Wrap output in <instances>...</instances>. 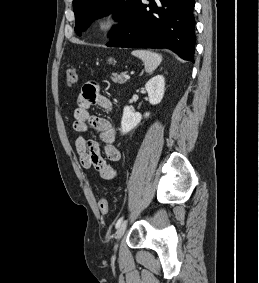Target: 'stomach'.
<instances>
[{
	"instance_id": "1",
	"label": "stomach",
	"mask_w": 259,
	"mask_h": 283,
	"mask_svg": "<svg viewBox=\"0 0 259 283\" xmlns=\"http://www.w3.org/2000/svg\"><path fill=\"white\" fill-rule=\"evenodd\" d=\"M109 62H113L114 60L112 59V58H109V60H108Z\"/></svg>"
}]
</instances>
